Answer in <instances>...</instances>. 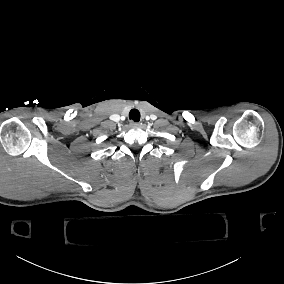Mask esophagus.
Returning <instances> with one entry per match:
<instances>
[{
  "mask_svg": "<svg viewBox=\"0 0 284 284\" xmlns=\"http://www.w3.org/2000/svg\"><path fill=\"white\" fill-rule=\"evenodd\" d=\"M130 126H131V127H139V126H140V123H138V122H131V123H130Z\"/></svg>",
  "mask_w": 284,
  "mask_h": 284,
  "instance_id": "1",
  "label": "esophagus"
}]
</instances>
